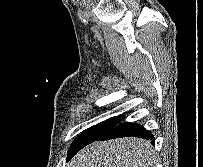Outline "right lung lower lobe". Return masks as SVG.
Instances as JSON below:
<instances>
[{
	"label": "right lung lower lobe",
	"instance_id": "98d812e1",
	"mask_svg": "<svg viewBox=\"0 0 203 167\" xmlns=\"http://www.w3.org/2000/svg\"><path fill=\"white\" fill-rule=\"evenodd\" d=\"M131 136L140 137L146 140L149 139V140H152V143H154V136L148 130H146L143 126H141L138 123H129V122L118 123L105 135L99 138H96L90 143L94 141H102V140H109V139L120 138V137H131ZM73 156L74 155H68L67 160H70Z\"/></svg>",
	"mask_w": 203,
	"mask_h": 167
}]
</instances>
